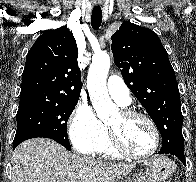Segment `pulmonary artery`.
<instances>
[{"instance_id": "pulmonary-artery-1", "label": "pulmonary artery", "mask_w": 196, "mask_h": 182, "mask_svg": "<svg viewBox=\"0 0 196 182\" xmlns=\"http://www.w3.org/2000/svg\"><path fill=\"white\" fill-rule=\"evenodd\" d=\"M107 90L112 99L119 105L127 106L130 104L129 89L120 77H110L107 81Z\"/></svg>"}]
</instances>
